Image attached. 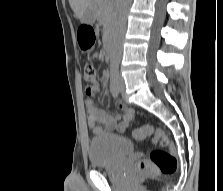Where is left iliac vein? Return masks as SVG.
Wrapping results in <instances>:
<instances>
[{
    "mask_svg": "<svg viewBox=\"0 0 223 191\" xmlns=\"http://www.w3.org/2000/svg\"><path fill=\"white\" fill-rule=\"evenodd\" d=\"M118 87L120 91L124 90V80L121 76H118Z\"/></svg>",
    "mask_w": 223,
    "mask_h": 191,
    "instance_id": "left-iliac-vein-1",
    "label": "left iliac vein"
}]
</instances>
